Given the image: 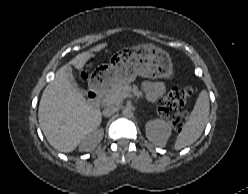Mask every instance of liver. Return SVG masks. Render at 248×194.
Returning a JSON list of instances; mask_svg holds the SVG:
<instances>
[{
    "mask_svg": "<svg viewBox=\"0 0 248 194\" xmlns=\"http://www.w3.org/2000/svg\"><path fill=\"white\" fill-rule=\"evenodd\" d=\"M106 44H99L74 57L62 66L55 78L44 89L38 110V120L49 144L64 153L72 152L79 143L101 123V111L87 104L83 95L69 82L66 68L69 65L82 70L93 52Z\"/></svg>",
    "mask_w": 248,
    "mask_h": 194,
    "instance_id": "1",
    "label": "liver"
}]
</instances>
